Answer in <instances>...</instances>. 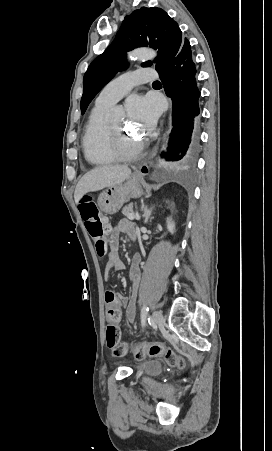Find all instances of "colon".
Returning <instances> with one entry per match:
<instances>
[{"label": "colon", "instance_id": "1", "mask_svg": "<svg viewBox=\"0 0 272 451\" xmlns=\"http://www.w3.org/2000/svg\"><path fill=\"white\" fill-rule=\"evenodd\" d=\"M81 216L85 221L89 234L94 240L95 251L99 257H104L108 252V231L103 230L101 213L98 204L91 200H82L79 204ZM106 345L112 356H120L132 351L137 359L140 354H162L164 359L173 367H181L182 359L173 350H166L165 345H154L153 342H128L127 339H119L118 328L114 323L108 322L105 328Z\"/></svg>", "mask_w": 272, "mask_h": 451}]
</instances>
